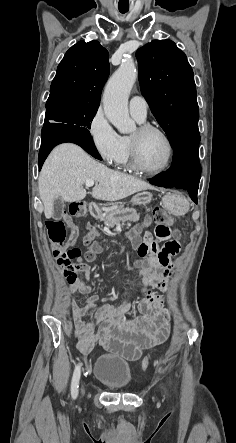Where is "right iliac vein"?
Masks as SVG:
<instances>
[{
  "label": "right iliac vein",
  "instance_id": "obj_1",
  "mask_svg": "<svg viewBox=\"0 0 236 443\" xmlns=\"http://www.w3.org/2000/svg\"><path fill=\"white\" fill-rule=\"evenodd\" d=\"M81 392L82 393L84 392V384H82V386H81Z\"/></svg>",
  "mask_w": 236,
  "mask_h": 443
}]
</instances>
